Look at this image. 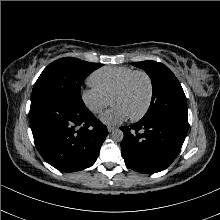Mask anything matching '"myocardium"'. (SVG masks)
<instances>
[{
  "label": "myocardium",
  "mask_w": 220,
  "mask_h": 220,
  "mask_svg": "<svg viewBox=\"0 0 220 220\" xmlns=\"http://www.w3.org/2000/svg\"><path fill=\"white\" fill-rule=\"evenodd\" d=\"M137 75H141L143 76L148 84V98L146 101V104L144 106V108L136 115L130 116V119L133 121H137L140 120L141 118H143L147 112L149 111L151 104H152V100H153V94H154V85H153V80L151 78V76L143 70H135L133 71L131 74H129L121 83L120 85L114 90V92L112 93L110 100L112 102L113 98L122 93L130 84V82L133 80V78Z\"/></svg>",
  "instance_id": "1"
}]
</instances>
